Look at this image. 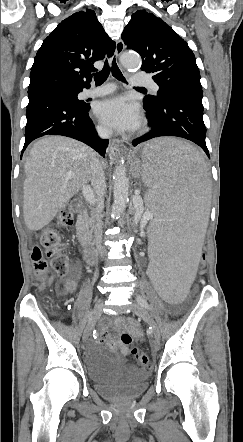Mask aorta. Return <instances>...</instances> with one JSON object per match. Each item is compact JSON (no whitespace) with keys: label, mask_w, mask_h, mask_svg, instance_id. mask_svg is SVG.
I'll return each mask as SVG.
<instances>
[{"label":"aorta","mask_w":243,"mask_h":442,"mask_svg":"<svg viewBox=\"0 0 243 442\" xmlns=\"http://www.w3.org/2000/svg\"><path fill=\"white\" fill-rule=\"evenodd\" d=\"M121 63L124 68L128 70H138L141 67V59L139 56L131 53H126L121 57ZM113 197L111 216L118 218L126 209L129 201V180L126 175V168L124 161L121 160L113 174Z\"/></svg>","instance_id":"762f6f07"}]
</instances>
